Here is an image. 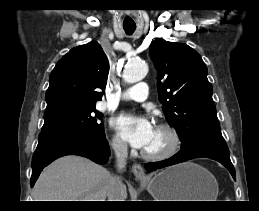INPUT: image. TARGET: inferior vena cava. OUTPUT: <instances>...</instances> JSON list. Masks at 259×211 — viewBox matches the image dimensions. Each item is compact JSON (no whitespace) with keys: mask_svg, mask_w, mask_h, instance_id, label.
I'll use <instances>...</instances> for the list:
<instances>
[{"mask_svg":"<svg viewBox=\"0 0 259 211\" xmlns=\"http://www.w3.org/2000/svg\"><path fill=\"white\" fill-rule=\"evenodd\" d=\"M113 149L116 155V166L118 170H124L126 167V160L128 156L127 145L121 141L113 143ZM124 184L120 176H113L111 185L108 191L107 201H122L120 199V190L123 188Z\"/></svg>","mask_w":259,"mask_h":211,"instance_id":"inferior-vena-cava-1","label":"inferior vena cava"}]
</instances>
